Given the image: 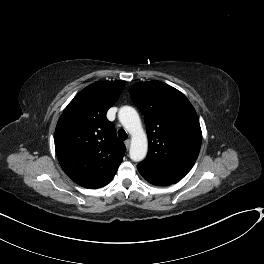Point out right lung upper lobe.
<instances>
[{
  "mask_svg": "<svg viewBox=\"0 0 264 264\" xmlns=\"http://www.w3.org/2000/svg\"><path fill=\"white\" fill-rule=\"evenodd\" d=\"M125 81H97L67 105L55 129V151L64 172L78 185H107L126 151L107 110L118 100Z\"/></svg>",
  "mask_w": 264,
  "mask_h": 264,
  "instance_id": "right-lung-upper-lobe-1",
  "label": "right lung upper lobe"
}]
</instances>
